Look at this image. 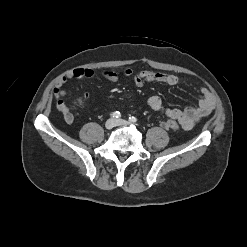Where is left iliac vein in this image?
Wrapping results in <instances>:
<instances>
[{
	"label": "left iliac vein",
	"mask_w": 247,
	"mask_h": 247,
	"mask_svg": "<svg viewBox=\"0 0 247 247\" xmlns=\"http://www.w3.org/2000/svg\"><path fill=\"white\" fill-rule=\"evenodd\" d=\"M130 123L123 119L115 120V126H128Z\"/></svg>",
	"instance_id": "obj_1"
}]
</instances>
